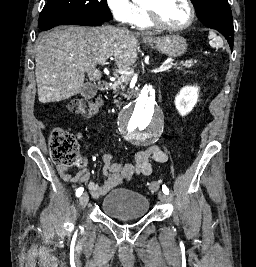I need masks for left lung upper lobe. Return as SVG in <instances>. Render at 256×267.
I'll return each mask as SVG.
<instances>
[{
    "instance_id": "left-lung-upper-lobe-1",
    "label": "left lung upper lobe",
    "mask_w": 256,
    "mask_h": 267,
    "mask_svg": "<svg viewBox=\"0 0 256 267\" xmlns=\"http://www.w3.org/2000/svg\"><path fill=\"white\" fill-rule=\"evenodd\" d=\"M202 23L218 30L233 49V20L227 0H192Z\"/></svg>"
}]
</instances>
